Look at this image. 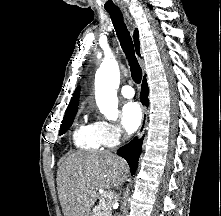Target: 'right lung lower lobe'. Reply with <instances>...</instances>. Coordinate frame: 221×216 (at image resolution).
Returning <instances> with one entry per match:
<instances>
[{
	"instance_id": "obj_1",
	"label": "right lung lower lobe",
	"mask_w": 221,
	"mask_h": 216,
	"mask_svg": "<svg viewBox=\"0 0 221 216\" xmlns=\"http://www.w3.org/2000/svg\"><path fill=\"white\" fill-rule=\"evenodd\" d=\"M148 86L144 78L141 89V102L148 105ZM143 138L138 140L135 137L130 143L118 149L117 154L123 157L129 164L131 175H133L138 166V160L142 151Z\"/></svg>"
}]
</instances>
